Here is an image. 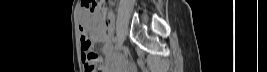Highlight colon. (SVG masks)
<instances>
[{
    "label": "colon",
    "instance_id": "obj_1",
    "mask_svg": "<svg viewBox=\"0 0 267 72\" xmlns=\"http://www.w3.org/2000/svg\"><path fill=\"white\" fill-rule=\"evenodd\" d=\"M84 5L88 8L91 13L101 15L106 20L107 14V1L106 0H85ZM90 42L84 39L81 43V49L84 51L85 72H96L97 66L100 62V57L95 52L89 51Z\"/></svg>",
    "mask_w": 267,
    "mask_h": 72
}]
</instances>
